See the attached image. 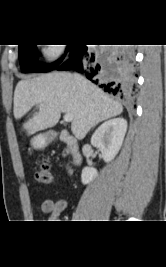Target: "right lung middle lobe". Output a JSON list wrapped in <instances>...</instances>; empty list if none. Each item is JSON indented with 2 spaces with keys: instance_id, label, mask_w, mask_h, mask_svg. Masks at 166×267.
<instances>
[{
  "instance_id": "dd1d6c3e",
  "label": "right lung middle lobe",
  "mask_w": 166,
  "mask_h": 267,
  "mask_svg": "<svg viewBox=\"0 0 166 267\" xmlns=\"http://www.w3.org/2000/svg\"><path fill=\"white\" fill-rule=\"evenodd\" d=\"M35 46L36 45L31 44L19 45V60L22 72H48L62 61V59H59L50 65H43L39 63L37 61V50ZM70 47L71 45L67 46L66 52L70 49Z\"/></svg>"
}]
</instances>
